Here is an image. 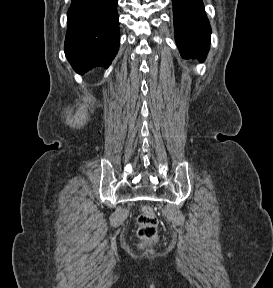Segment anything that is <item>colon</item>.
I'll use <instances>...</instances> for the list:
<instances>
[{"mask_svg":"<svg viewBox=\"0 0 273 288\" xmlns=\"http://www.w3.org/2000/svg\"><path fill=\"white\" fill-rule=\"evenodd\" d=\"M138 236L145 243H153L158 238V219L155 211L149 205H143L138 215Z\"/></svg>","mask_w":273,"mask_h":288,"instance_id":"obj_1","label":"colon"}]
</instances>
